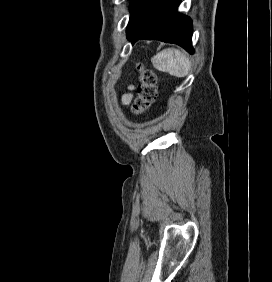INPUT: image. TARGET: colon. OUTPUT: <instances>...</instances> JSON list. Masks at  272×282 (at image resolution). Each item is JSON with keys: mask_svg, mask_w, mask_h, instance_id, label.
Segmentation results:
<instances>
[{"mask_svg": "<svg viewBox=\"0 0 272 282\" xmlns=\"http://www.w3.org/2000/svg\"><path fill=\"white\" fill-rule=\"evenodd\" d=\"M140 83L137 88V97L133 103V111L142 113L148 109L156 97V75L148 69L139 67Z\"/></svg>", "mask_w": 272, "mask_h": 282, "instance_id": "1", "label": "colon"}]
</instances>
